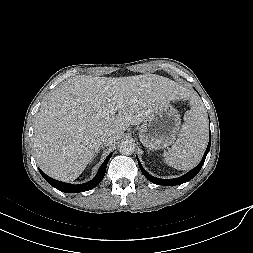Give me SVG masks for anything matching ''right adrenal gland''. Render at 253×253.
I'll return each instance as SVG.
<instances>
[{
  "mask_svg": "<svg viewBox=\"0 0 253 253\" xmlns=\"http://www.w3.org/2000/svg\"><path fill=\"white\" fill-rule=\"evenodd\" d=\"M101 148L98 149V151L96 152V155L98 154V152L100 151Z\"/></svg>",
  "mask_w": 253,
  "mask_h": 253,
  "instance_id": "1",
  "label": "right adrenal gland"
}]
</instances>
